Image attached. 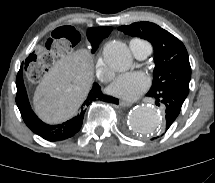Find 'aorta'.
<instances>
[{"instance_id": "obj_1", "label": "aorta", "mask_w": 215, "mask_h": 183, "mask_svg": "<svg viewBox=\"0 0 215 183\" xmlns=\"http://www.w3.org/2000/svg\"><path fill=\"white\" fill-rule=\"evenodd\" d=\"M103 57L108 67L117 72L128 70L132 64L130 50L120 41L107 43L103 50ZM127 124L135 133L150 135L162 127L163 119L155 107L141 105L130 112Z\"/></svg>"}]
</instances>
